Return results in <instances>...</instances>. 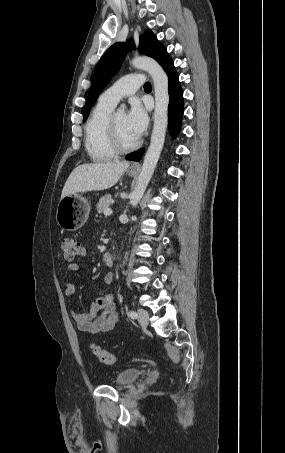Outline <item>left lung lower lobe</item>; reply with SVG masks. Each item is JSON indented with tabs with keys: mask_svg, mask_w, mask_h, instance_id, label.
Masks as SVG:
<instances>
[{
	"mask_svg": "<svg viewBox=\"0 0 285 453\" xmlns=\"http://www.w3.org/2000/svg\"><path fill=\"white\" fill-rule=\"evenodd\" d=\"M169 77V92L170 100L168 107L169 114V129L173 136L180 130L181 118L183 114V92L179 83V77L176 74L173 61L169 57L167 51L158 61ZM144 153V148L126 156V159L139 161Z\"/></svg>",
	"mask_w": 285,
	"mask_h": 453,
	"instance_id": "left-lung-lower-lobe-1",
	"label": "left lung lower lobe"
}]
</instances>
